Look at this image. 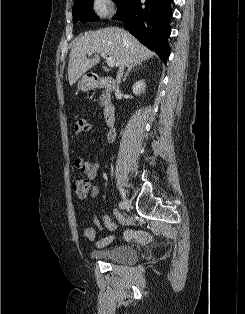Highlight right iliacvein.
I'll list each match as a JSON object with an SVG mask.
<instances>
[{
    "label": "right iliac vein",
    "mask_w": 245,
    "mask_h": 314,
    "mask_svg": "<svg viewBox=\"0 0 245 314\" xmlns=\"http://www.w3.org/2000/svg\"><path fill=\"white\" fill-rule=\"evenodd\" d=\"M129 206V201L126 197H124L122 202V209H126Z\"/></svg>",
    "instance_id": "obj_1"
}]
</instances>
